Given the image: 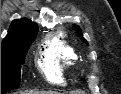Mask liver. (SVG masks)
<instances>
[{
    "label": "liver",
    "instance_id": "6515ba94",
    "mask_svg": "<svg viewBox=\"0 0 121 94\" xmlns=\"http://www.w3.org/2000/svg\"><path fill=\"white\" fill-rule=\"evenodd\" d=\"M45 94H55V93H52V92H47V93H45Z\"/></svg>",
    "mask_w": 121,
    "mask_h": 94
}]
</instances>
